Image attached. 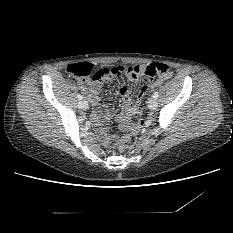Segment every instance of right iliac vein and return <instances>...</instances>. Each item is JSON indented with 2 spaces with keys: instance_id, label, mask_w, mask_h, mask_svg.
Listing matches in <instances>:
<instances>
[{
  "instance_id": "63e3f726",
  "label": "right iliac vein",
  "mask_w": 233,
  "mask_h": 233,
  "mask_svg": "<svg viewBox=\"0 0 233 233\" xmlns=\"http://www.w3.org/2000/svg\"><path fill=\"white\" fill-rule=\"evenodd\" d=\"M79 108L82 109V110H86L88 108V102L83 99L79 102Z\"/></svg>"
}]
</instances>
